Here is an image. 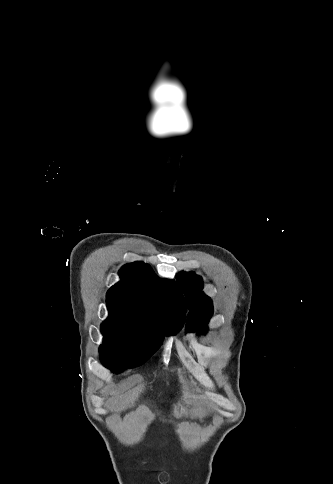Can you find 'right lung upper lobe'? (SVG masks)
<instances>
[{"mask_svg":"<svg viewBox=\"0 0 333 484\" xmlns=\"http://www.w3.org/2000/svg\"><path fill=\"white\" fill-rule=\"evenodd\" d=\"M119 276L120 282L107 292V321L133 323L153 334L180 330L186 306L175 281L159 279L143 262L124 265Z\"/></svg>","mask_w":333,"mask_h":484,"instance_id":"right-lung-upper-lobe-1","label":"right lung upper lobe"}]
</instances>
